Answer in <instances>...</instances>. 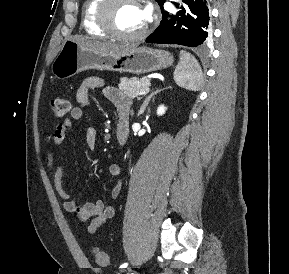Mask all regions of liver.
Listing matches in <instances>:
<instances>
[{
	"label": "liver",
	"instance_id": "liver-1",
	"mask_svg": "<svg viewBox=\"0 0 289 274\" xmlns=\"http://www.w3.org/2000/svg\"><path fill=\"white\" fill-rule=\"evenodd\" d=\"M76 42L91 50L110 54H120L134 48L127 45H118L110 42L88 40L83 38L76 39Z\"/></svg>",
	"mask_w": 289,
	"mask_h": 274
}]
</instances>
